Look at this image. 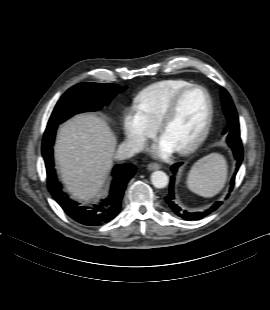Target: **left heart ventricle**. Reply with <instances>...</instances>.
<instances>
[{"instance_id": "b2bd125f", "label": "left heart ventricle", "mask_w": 270, "mask_h": 310, "mask_svg": "<svg viewBox=\"0 0 270 310\" xmlns=\"http://www.w3.org/2000/svg\"><path fill=\"white\" fill-rule=\"evenodd\" d=\"M207 114V99L203 92L193 91L181 101L161 137L176 150L193 140L201 131Z\"/></svg>"}]
</instances>
